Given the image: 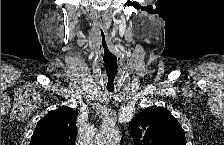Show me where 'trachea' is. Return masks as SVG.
Instances as JSON below:
<instances>
[{"label":"trachea","mask_w":224,"mask_h":145,"mask_svg":"<svg viewBox=\"0 0 224 145\" xmlns=\"http://www.w3.org/2000/svg\"><path fill=\"white\" fill-rule=\"evenodd\" d=\"M105 55L107 56L106 52H105ZM104 69H105L106 80L108 81L107 90L110 92H113L114 80L118 72L117 58L113 54H110L109 59L107 58L104 59Z\"/></svg>","instance_id":"1"}]
</instances>
